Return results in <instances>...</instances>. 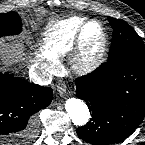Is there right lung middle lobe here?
Returning <instances> with one entry per match:
<instances>
[{"mask_svg": "<svg viewBox=\"0 0 145 145\" xmlns=\"http://www.w3.org/2000/svg\"><path fill=\"white\" fill-rule=\"evenodd\" d=\"M21 30V18L16 12L10 11L0 14V37L18 34Z\"/></svg>", "mask_w": 145, "mask_h": 145, "instance_id": "right-lung-middle-lobe-1", "label": "right lung middle lobe"}]
</instances>
